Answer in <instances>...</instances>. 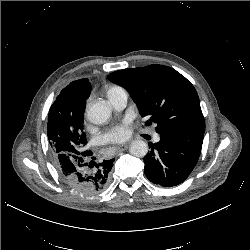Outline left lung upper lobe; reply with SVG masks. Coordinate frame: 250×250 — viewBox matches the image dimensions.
Here are the masks:
<instances>
[{"label": "left lung upper lobe", "instance_id": "5c2ea615", "mask_svg": "<svg viewBox=\"0 0 250 250\" xmlns=\"http://www.w3.org/2000/svg\"><path fill=\"white\" fill-rule=\"evenodd\" d=\"M108 79L124 87L142 117L155 123L156 132L204 133L205 122L198 94L189 80L171 67L150 65L118 70Z\"/></svg>", "mask_w": 250, "mask_h": 250}]
</instances>
